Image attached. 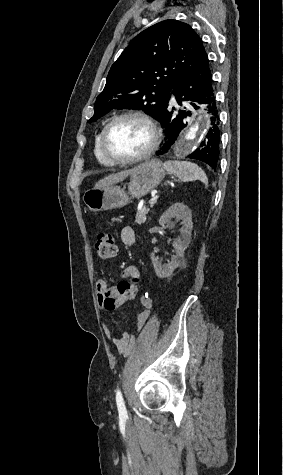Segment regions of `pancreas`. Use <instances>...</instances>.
<instances>
[{
  "label": "pancreas",
  "mask_w": 283,
  "mask_h": 475,
  "mask_svg": "<svg viewBox=\"0 0 283 475\" xmlns=\"http://www.w3.org/2000/svg\"><path fill=\"white\" fill-rule=\"evenodd\" d=\"M148 212H149V208H147V206H143V208H141V210L137 212L135 216V222L136 224H138V226H141V224H145L147 220L146 214H148Z\"/></svg>",
  "instance_id": "cf45deb5"
}]
</instances>
